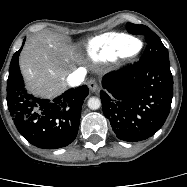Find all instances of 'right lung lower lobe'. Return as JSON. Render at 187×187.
<instances>
[{
  "label": "right lung lower lobe",
  "instance_id": "obj_1",
  "mask_svg": "<svg viewBox=\"0 0 187 187\" xmlns=\"http://www.w3.org/2000/svg\"><path fill=\"white\" fill-rule=\"evenodd\" d=\"M22 47L12 57L7 80V105L14 124L19 133L36 147H65L77 136L81 107L89 89L86 85L72 88L52 101L30 95L24 88L19 69Z\"/></svg>",
  "mask_w": 187,
  "mask_h": 187
}]
</instances>
